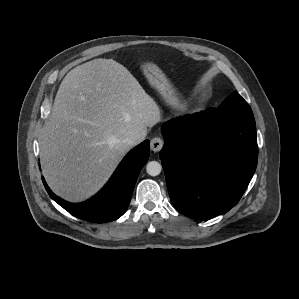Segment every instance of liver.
Listing matches in <instances>:
<instances>
[{"label": "liver", "instance_id": "1", "mask_svg": "<svg viewBox=\"0 0 299 299\" xmlns=\"http://www.w3.org/2000/svg\"><path fill=\"white\" fill-rule=\"evenodd\" d=\"M172 101L167 87H159ZM161 119L136 78L113 59H94L64 77L42 131L43 175L59 197L81 202L109 179L131 147L122 140Z\"/></svg>", "mask_w": 299, "mask_h": 299}]
</instances>
